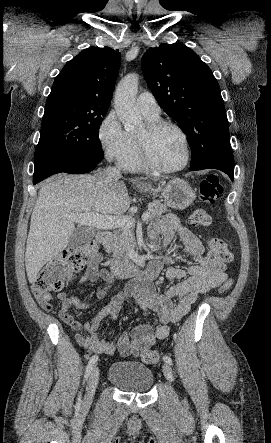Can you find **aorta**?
Returning <instances> with one entry per match:
<instances>
[{"instance_id": "762f6f07", "label": "aorta", "mask_w": 271, "mask_h": 443, "mask_svg": "<svg viewBox=\"0 0 271 443\" xmlns=\"http://www.w3.org/2000/svg\"><path fill=\"white\" fill-rule=\"evenodd\" d=\"M138 86V74H127L116 88L114 108L126 132H136L142 128L143 118L135 104Z\"/></svg>"}]
</instances>
